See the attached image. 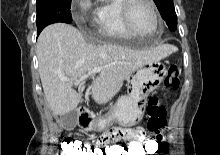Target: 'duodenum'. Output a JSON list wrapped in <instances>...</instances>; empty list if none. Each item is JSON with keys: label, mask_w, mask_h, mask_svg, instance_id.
<instances>
[{"label": "duodenum", "mask_w": 220, "mask_h": 155, "mask_svg": "<svg viewBox=\"0 0 220 155\" xmlns=\"http://www.w3.org/2000/svg\"><path fill=\"white\" fill-rule=\"evenodd\" d=\"M91 112L85 108V107H80L78 109V122L81 125H86L89 123V121L91 120Z\"/></svg>", "instance_id": "1"}]
</instances>
